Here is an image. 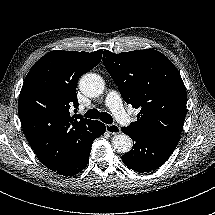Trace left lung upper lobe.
I'll list each match as a JSON object with an SVG mask.
<instances>
[{"label": "left lung upper lobe", "mask_w": 215, "mask_h": 215, "mask_svg": "<svg viewBox=\"0 0 215 215\" xmlns=\"http://www.w3.org/2000/svg\"><path fill=\"white\" fill-rule=\"evenodd\" d=\"M103 63L124 101L140 109L129 130L180 136L187 94L178 70L166 56L152 49L120 54L105 50Z\"/></svg>", "instance_id": "left-lung-upper-lobe-1"}]
</instances>
